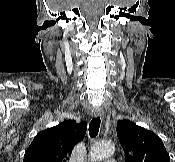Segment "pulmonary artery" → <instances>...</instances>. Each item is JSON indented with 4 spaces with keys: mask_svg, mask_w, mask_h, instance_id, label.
I'll return each instance as SVG.
<instances>
[{
    "mask_svg": "<svg viewBox=\"0 0 175 162\" xmlns=\"http://www.w3.org/2000/svg\"><path fill=\"white\" fill-rule=\"evenodd\" d=\"M104 162H116L114 159H106Z\"/></svg>",
    "mask_w": 175,
    "mask_h": 162,
    "instance_id": "e3ab8cb5",
    "label": "pulmonary artery"
}]
</instances>
